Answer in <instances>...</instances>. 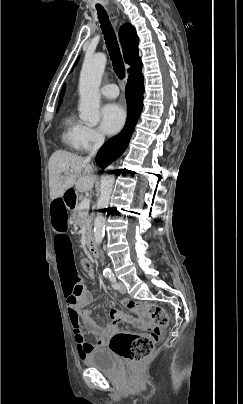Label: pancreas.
I'll use <instances>...</instances> for the list:
<instances>
[{
	"label": "pancreas",
	"mask_w": 243,
	"mask_h": 404,
	"mask_svg": "<svg viewBox=\"0 0 243 404\" xmlns=\"http://www.w3.org/2000/svg\"><path fill=\"white\" fill-rule=\"evenodd\" d=\"M73 222L77 224L79 228H81L82 224H85L86 230V240L90 238L92 232V218L89 216L88 212H84V210H80V204H78L77 208H75L73 212Z\"/></svg>",
	"instance_id": "pancreas-1"
}]
</instances>
